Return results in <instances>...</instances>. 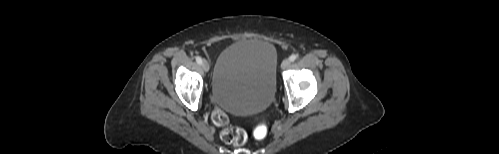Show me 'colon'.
Listing matches in <instances>:
<instances>
[{
    "instance_id": "colon-1",
    "label": "colon",
    "mask_w": 499,
    "mask_h": 154,
    "mask_svg": "<svg viewBox=\"0 0 499 154\" xmlns=\"http://www.w3.org/2000/svg\"><path fill=\"white\" fill-rule=\"evenodd\" d=\"M212 121L215 125L222 127L221 138L226 143L241 146L247 141V133L245 130L239 127L229 126V118L223 110L219 108L214 109L212 112ZM266 132V128L261 127L256 131V135L263 137L266 135Z\"/></svg>"
}]
</instances>
